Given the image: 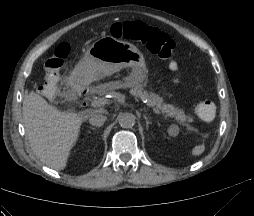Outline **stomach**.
Segmentation results:
<instances>
[{
	"label": "stomach",
	"instance_id": "0dacf381",
	"mask_svg": "<svg viewBox=\"0 0 254 216\" xmlns=\"http://www.w3.org/2000/svg\"><path fill=\"white\" fill-rule=\"evenodd\" d=\"M123 68H131L125 81L139 84L147 77L148 68L142 52L129 42L107 36L92 44L75 66L71 80L74 84L86 83Z\"/></svg>",
	"mask_w": 254,
	"mask_h": 216
}]
</instances>
